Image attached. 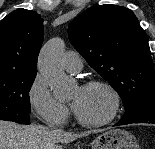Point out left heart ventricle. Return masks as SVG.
Wrapping results in <instances>:
<instances>
[{
  "label": "left heart ventricle",
  "mask_w": 155,
  "mask_h": 149,
  "mask_svg": "<svg viewBox=\"0 0 155 149\" xmlns=\"http://www.w3.org/2000/svg\"><path fill=\"white\" fill-rule=\"evenodd\" d=\"M71 99L76 103V112L85 120L100 121L111 111V98L101 88H76Z\"/></svg>",
  "instance_id": "b2bd125f"
}]
</instances>
